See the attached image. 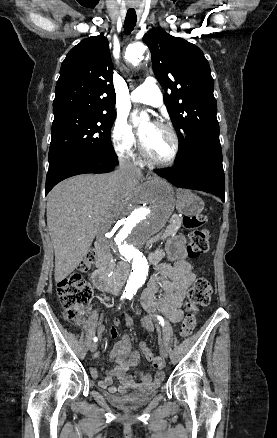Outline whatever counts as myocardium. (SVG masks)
Masks as SVG:
<instances>
[{
	"label": "myocardium",
	"instance_id": "obj_1",
	"mask_svg": "<svg viewBox=\"0 0 277 438\" xmlns=\"http://www.w3.org/2000/svg\"><path fill=\"white\" fill-rule=\"evenodd\" d=\"M153 124L155 126L159 127L160 129H162L163 131H165L172 138L173 144H174L172 156L170 157V159H168L166 161H161V160L154 158L147 150L146 145L143 142L142 138H140L141 154L147 160V162H149L152 165L160 166V167L171 166L176 162V160L179 156V152H180L179 137H178L176 131L171 126H169L163 122H160V121H156Z\"/></svg>",
	"mask_w": 277,
	"mask_h": 438
}]
</instances>
